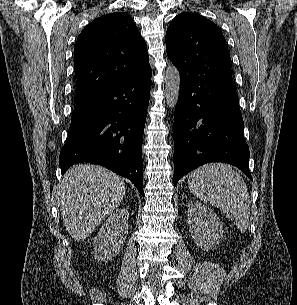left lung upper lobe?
<instances>
[{
  "label": "left lung upper lobe",
  "instance_id": "5c2ea615",
  "mask_svg": "<svg viewBox=\"0 0 297 305\" xmlns=\"http://www.w3.org/2000/svg\"><path fill=\"white\" fill-rule=\"evenodd\" d=\"M167 55L180 69L194 76H231L230 54L219 27L204 17L184 12L166 33Z\"/></svg>",
  "mask_w": 297,
  "mask_h": 305
}]
</instances>
